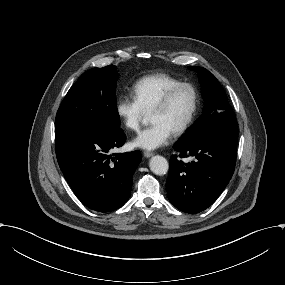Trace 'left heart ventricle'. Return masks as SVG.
Segmentation results:
<instances>
[{
	"mask_svg": "<svg viewBox=\"0 0 285 285\" xmlns=\"http://www.w3.org/2000/svg\"><path fill=\"white\" fill-rule=\"evenodd\" d=\"M193 102L192 91L188 87L179 88L174 94L168 107L153 110L150 113V120L160 121L173 128L181 123L188 115Z\"/></svg>",
	"mask_w": 285,
	"mask_h": 285,
	"instance_id": "b2bd125f",
	"label": "left heart ventricle"
}]
</instances>
